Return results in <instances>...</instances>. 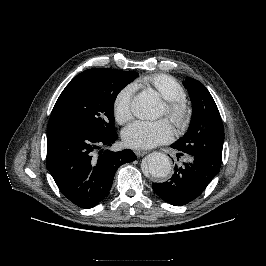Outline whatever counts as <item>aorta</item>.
<instances>
[{
  "mask_svg": "<svg viewBox=\"0 0 266 266\" xmlns=\"http://www.w3.org/2000/svg\"><path fill=\"white\" fill-rule=\"evenodd\" d=\"M132 113L139 119L159 116L160 99L154 92L143 91L131 103ZM144 167L156 178L166 177L171 171L169 157L161 152H153L146 157Z\"/></svg>",
  "mask_w": 266,
  "mask_h": 266,
  "instance_id": "obj_1",
  "label": "aorta"
}]
</instances>
